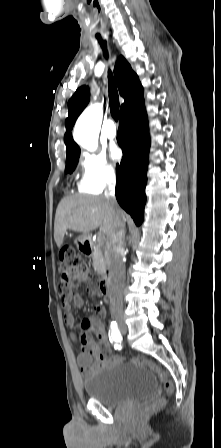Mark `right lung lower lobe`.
Returning a JSON list of instances; mask_svg holds the SVG:
<instances>
[{"mask_svg": "<svg viewBox=\"0 0 221 448\" xmlns=\"http://www.w3.org/2000/svg\"><path fill=\"white\" fill-rule=\"evenodd\" d=\"M117 140L122 148L123 158L120 165L116 166V198L120 206L139 226L144 218L147 157L150 146L143 98L120 112Z\"/></svg>", "mask_w": 221, "mask_h": 448, "instance_id": "98d812e1", "label": "right lung lower lobe"}]
</instances>
